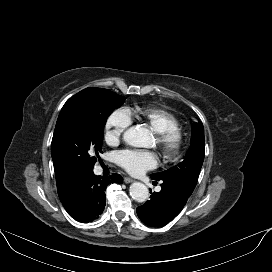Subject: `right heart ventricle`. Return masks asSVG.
I'll return each mask as SVG.
<instances>
[{"instance_id":"1","label":"right heart ventricle","mask_w":272,"mask_h":272,"mask_svg":"<svg viewBox=\"0 0 272 272\" xmlns=\"http://www.w3.org/2000/svg\"><path fill=\"white\" fill-rule=\"evenodd\" d=\"M132 121L148 125L155 133L169 129L180 128V121L171 113L154 107L143 108L137 111L127 109Z\"/></svg>"}]
</instances>
